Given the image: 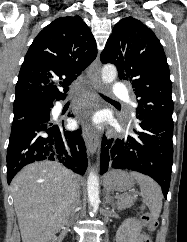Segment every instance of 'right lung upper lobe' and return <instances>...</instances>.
<instances>
[{
    "label": "right lung upper lobe",
    "mask_w": 187,
    "mask_h": 242,
    "mask_svg": "<svg viewBox=\"0 0 187 242\" xmlns=\"http://www.w3.org/2000/svg\"><path fill=\"white\" fill-rule=\"evenodd\" d=\"M96 41L80 16L54 20L34 39L21 66L14 107L66 97L68 86L96 58ZM61 80V81H60Z\"/></svg>",
    "instance_id": "obj_1"
}]
</instances>
